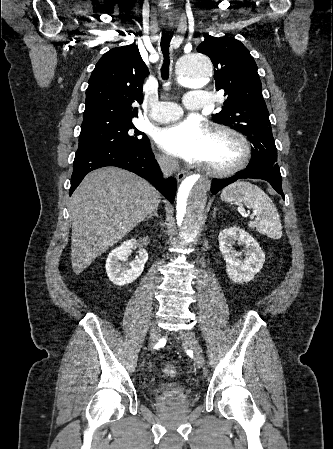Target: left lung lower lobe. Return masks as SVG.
I'll list each match as a JSON object with an SVG mask.
<instances>
[{
    "label": "left lung lower lobe",
    "instance_id": "0a47b994",
    "mask_svg": "<svg viewBox=\"0 0 333 449\" xmlns=\"http://www.w3.org/2000/svg\"><path fill=\"white\" fill-rule=\"evenodd\" d=\"M242 178H254L263 179L268 181L272 187L283 197L282 191V177L280 174V169L275 167H250L247 166L246 169L237 173L236 175L226 178V179H214L211 184V192L216 194L219 190L225 186L235 182Z\"/></svg>",
    "mask_w": 333,
    "mask_h": 449
}]
</instances>
